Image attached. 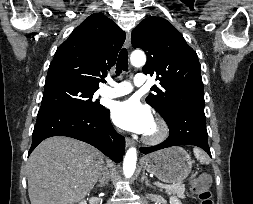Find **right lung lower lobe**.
Returning a JSON list of instances; mask_svg holds the SVG:
<instances>
[{"label":"right lung lower lobe","instance_id":"1","mask_svg":"<svg viewBox=\"0 0 253 204\" xmlns=\"http://www.w3.org/2000/svg\"><path fill=\"white\" fill-rule=\"evenodd\" d=\"M68 136L89 143L115 162L125 152V139L116 133L105 107L97 114L69 109L39 110L29 154L44 139Z\"/></svg>","mask_w":253,"mask_h":204}]
</instances>
